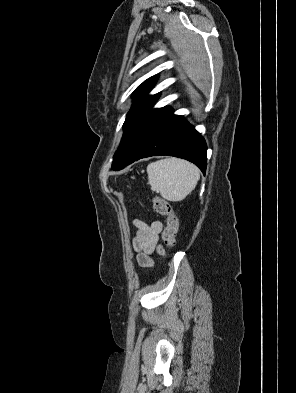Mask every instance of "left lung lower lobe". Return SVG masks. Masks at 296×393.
I'll list each match as a JSON object with an SVG mask.
<instances>
[{"label":"left lung lower lobe","mask_w":296,"mask_h":393,"mask_svg":"<svg viewBox=\"0 0 296 393\" xmlns=\"http://www.w3.org/2000/svg\"><path fill=\"white\" fill-rule=\"evenodd\" d=\"M207 146L204 138L182 116L167 107L147 127L124 167L141 158L170 155L186 159L206 171Z\"/></svg>","instance_id":"0a47b994"}]
</instances>
